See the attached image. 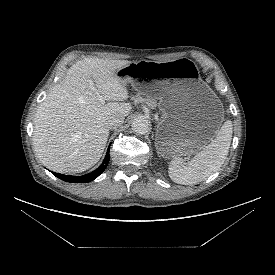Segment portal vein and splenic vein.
<instances>
[{
	"instance_id": "portal-vein-and-splenic-vein-1",
	"label": "portal vein and splenic vein",
	"mask_w": 275,
	"mask_h": 275,
	"mask_svg": "<svg viewBox=\"0 0 275 275\" xmlns=\"http://www.w3.org/2000/svg\"><path fill=\"white\" fill-rule=\"evenodd\" d=\"M89 85H90L91 90L97 95L99 102L101 104H104L105 98L98 92L97 88L94 85L93 80H89Z\"/></svg>"
}]
</instances>
